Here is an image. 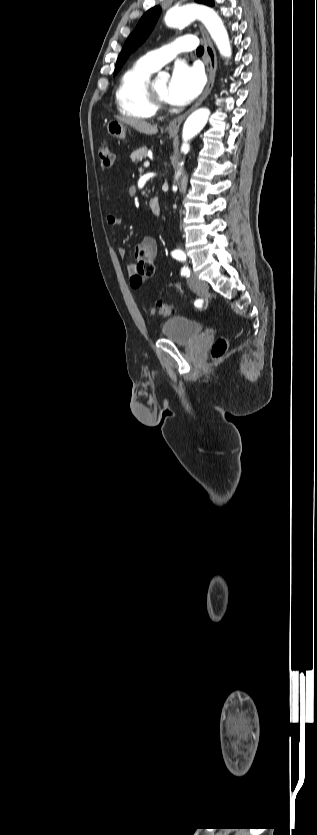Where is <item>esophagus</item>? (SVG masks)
<instances>
[{
	"instance_id": "34e87169",
	"label": "esophagus",
	"mask_w": 317,
	"mask_h": 835,
	"mask_svg": "<svg viewBox=\"0 0 317 835\" xmlns=\"http://www.w3.org/2000/svg\"><path fill=\"white\" fill-rule=\"evenodd\" d=\"M199 27H200V31H201V34H202L204 47H205V64H206L207 72H208V82H207V85H206L203 93L198 98V100L194 103V105L189 110H187L185 113L176 117L175 119H173L170 122V124L167 127V130L171 133H177L179 131V128H180V125L182 124V122L187 118V116L190 113H192L205 100V98L208 96V94L212 90V87H213L214 82H215V76H216V71H217L216 52H215V49L212 45L211 39H210L209 34L207 33V31L200 24H199Z\"/></svg>"
}]
</instances>
